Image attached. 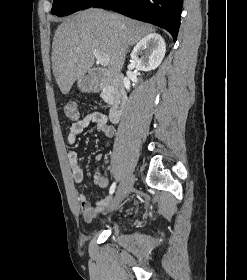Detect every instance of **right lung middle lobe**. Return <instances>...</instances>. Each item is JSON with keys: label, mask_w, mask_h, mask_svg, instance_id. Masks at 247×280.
I'll return each instance as SVG.
<instances>
[{"label": "right lung middle lobe", "mask_w": 247, "mask_h": 280, "mask_svg": "<svg viewBox=\"0 0 247 280\" xmlns=\"http://www.w3.org/2000/svg\"><path fill=\"white\" fill-rule=\"evenodd\" d=\"M100 0H54L52 14L65 16L92 7Z\"/></svg>", "instance_id": "1"}]
</instances>
